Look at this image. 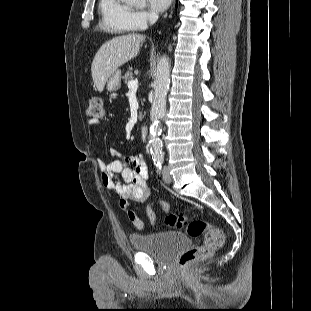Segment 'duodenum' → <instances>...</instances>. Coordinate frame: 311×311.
<instances>
[{
  "label": "duodenum",
  "mask_w": 311,
  "mask_h": 311,
  "mask_svg": "<svg viewBox=\"0 0 311 311\" xmlns=\"http://www.w3.org/2000/svg\"><path fill=\"white\" fill-rule=\"evenodd\" d=\"M149 135L148 127L143 125L140 128V137L142 141H147Z\"/></svg>",
  "instance_id": "410a0bca"
}]
</instances>
